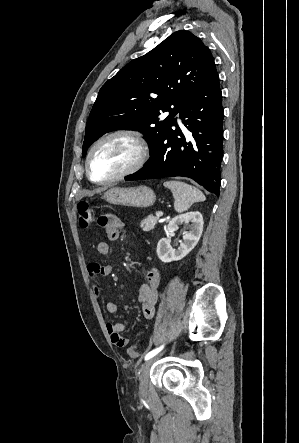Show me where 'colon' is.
<instances>
[{"mask_svg": "<svg viewBox=\"0 0 299 443\" xmlns=\"http://www.w3.org/2000/svg\"><path fill=\"white\" fill-rule=\"evenodd\" d=\"M79 215V226L82 229H89L96 223V216L93 207L86 201H80L77 205ZM130 358H140L141 354L136 344L131 345L127 350Z\"/></svg>", "mask_w": 299, "mask_h": 443, "instance_id": "colon-1", "label": "colon"}]
</instances>
